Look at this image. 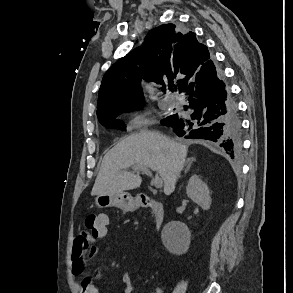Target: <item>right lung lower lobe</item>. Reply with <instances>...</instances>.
Instances as JSON below:
<instances>
[{
    "label": "right lung lower lobe",
    "mask_w": 293,
    "mask_h": 293,
    "mask_svg": "<svg viewBox=\"0 0 293 293\" xmlns=\"http://www.w3.org/2000/svg\"><path fill=\"white\" fill-rule=\"evenodd\" d=\"M181 92L188 101L185 112L168 116L161 124L172 127L179 137L214 141L232 159L238 155L241 122L214 62L207 61Z\"/></svg>",
    "instance_id": "right-lung-lower-lobe-1"
}]
</instances>
